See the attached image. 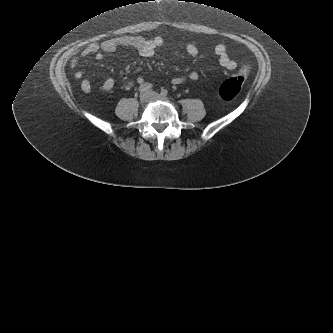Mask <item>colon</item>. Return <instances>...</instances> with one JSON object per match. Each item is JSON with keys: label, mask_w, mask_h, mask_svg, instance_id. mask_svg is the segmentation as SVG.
Here are the masks:
<instances>
[{"label": "colon", "mask_w": 333, "mask_h": 333, "mask_svg": "<svg viewBox=\"0 0 333 333\" xmlns=\"http://www.w3.org/2000/svg\"><path fill=\"white\" fill-rule=\"evenodd\" d=\"M248 71L249 68L244 67L240 73L222 82L218 90L220 97L225 100H231L235 98L243 87Z\"/></svg>", "instance_id": "obj_1"}]
</instances>
